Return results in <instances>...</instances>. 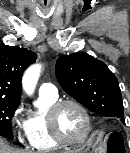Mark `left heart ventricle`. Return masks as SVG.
Returning a JSON list of instances; mask_svg holds the SVG:
<instances>
[{"mask_svg": "<svg viewBox=\"0 0 130 153\" xmlns=\"http://www.w3.org/2000/svg\"><path fill=\"white\" fill-rule=\"evenodd\" d=\"M57 122L61 134L70 140L78 139L85 129L82 113L72 105H66L60 110Z\"/></svg>", "mask_w": 130, "mask_h": 153, "instance_id": "left-heart-ventricle-1", "label": "left heart ventricle"}]
</instances>
